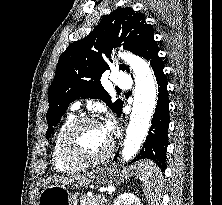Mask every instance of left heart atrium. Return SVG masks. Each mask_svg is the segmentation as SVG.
Listing matches in <instances>:
<instances>
[{
	"instance_id": "39dd6f15",
	"label": "left heart atrium",
	"mask_w": 222,
	"mask_h": 205,
	"mask_svg": "<svg viewBox=\"0 0 222 205\" xmlns=\"http://www.w3.org/2000/svg\"><path fill=\"white\" fill-rule=\"evenodd\" d=\"M113 126H114V125H113V121H112L111 119H108V120L102 125L104 131H105L108 135H110V133L112 132Z\"/></svg>"
}]
</instances>
